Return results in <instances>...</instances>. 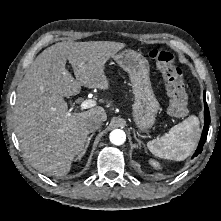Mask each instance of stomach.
Instances as JSON below:
<instances>
[{
    "instance_id": "obj_1",
    "label": "stomach",
    "mask_w": 221,
    "mask_h": 221,
    "mask_svg": "<svg viewBox=\"0 0 221 221\" xmlns=\"http://www.w3.org/2000/svg\"><path fill=\"white\" fill-rule=\"evenodd\" d=\"M113 58L129 74L134 94L133 119L138 128L145 131L153 126L160 108L151 87L149 63L141 53L134 50H124Z\"/></svg>"
}]
</instances>
